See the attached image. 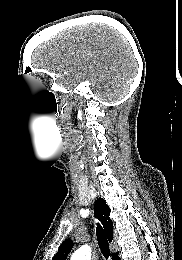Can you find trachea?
Here are the masks:
<instances>
[{"label":"trachea","mask_w":182,"mask_h":260,"mask_svg":"<svg viewBox=\"0 0 182 260\" xmlns=\"http://www.w3.org/2000/svg\"><path fill=\"white\" fill-rule=\"evenodd\" d=\"M96 235L101 253L106 259H108L110 256L109 243L106 234L99 223L97 224Z\"/></svg>","instance_id":"3493384b"}]
</instances>
